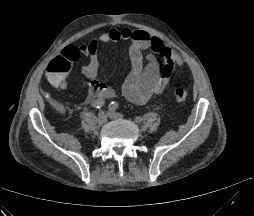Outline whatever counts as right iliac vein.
Instances as JSON below:
<instances>
[{"instance_id":"63e3f726","label":"right iliac vein","mask_w":254,"mask_h":216,"mask_svg":"<svg viewBox=\"0 0 254 216\" xmlns=\"http://www.w3.org/2000/svg\"><path fill=\"white\" fill-rule=\"evenodd\" d=\"M107 122V114L104 111L99 112L97 116V123L99 125H104Z\"/></svg>"}]
</instances>
